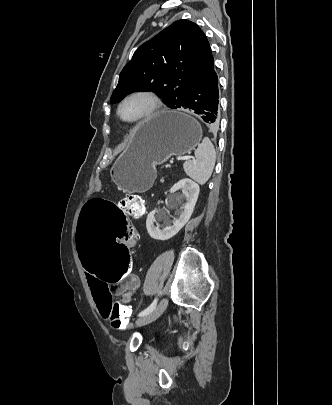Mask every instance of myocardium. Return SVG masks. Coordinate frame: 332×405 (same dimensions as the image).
I'll return each mask as SVG.
<instances>
[{"instance_id": "f54148a6", "label": "myocardium", "mask_w": 332, "mask_h": 405, "mask_svg": "<svg viewBox=\"0 0 332 405\" xmlns=\"http://www.w3.org/2000/svg\"><path fill=\"white\" fill-rule=\"evenodd\" d=\"M137 97H142L145 98L149 101V107L147 109V111L140 115L137 118L134 119H126L122 116L121 110L123 105L130 99L133 98H137ZM161 100L159 98V96L151 91V90H147V89H140V90H136L133 91L129 94H127L118 104V108H117V114L120 118V120H122L125 123L128 124H139L142 123L144 121H147L149 119H151L161 108Z\"/></svg>"}]
</instances>
